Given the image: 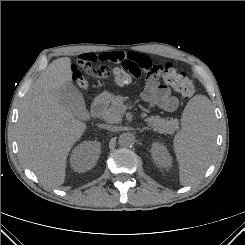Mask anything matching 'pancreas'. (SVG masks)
<instances>
[{
    "label": "pancreas",
    "instance_id": "pancreas-1",
    "mask_svg": "<svg viewBox=\"0 0 245 245\" xmlns=\"http://www.w3.org/2000/svg\"><path fill=\"white\" fill-rule=\"evenodd\" d=\"M125 97L120 95L113 98L112 103L103 114V120L107 123H120L121 118L127 109V105L124 104ZM149 112V109H145ZM149 126L159 133L172 134L179 128V121L177 119H162L159 116H150L147 118Z\"/></svg>",
    "mask_w": 245,
    "mask_h": 245
}]
</instances>
